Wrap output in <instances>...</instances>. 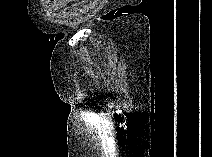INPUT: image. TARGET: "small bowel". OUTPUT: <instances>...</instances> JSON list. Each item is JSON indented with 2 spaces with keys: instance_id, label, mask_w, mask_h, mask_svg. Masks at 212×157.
I'll use <instances>...</instances> for the list:
<instances>
[{
  "instance_id": "small-bowel-1",
  "label": "small bowel",
  "mask_w": 212,
  "mask_h": 157,
  "mask_svg": "<svg viewBox=\"0 0 212 157\" xmlns=\"http://www.w3.org/2000/svg\"><path fill=\"white\" fill-rule=\"evenodd\" d=\"M54 6H59V5H61V2H54V4H53Z\"/></svg>"
}]
</instances>
